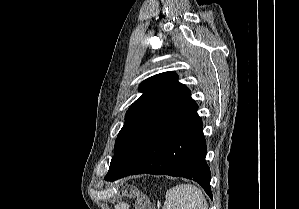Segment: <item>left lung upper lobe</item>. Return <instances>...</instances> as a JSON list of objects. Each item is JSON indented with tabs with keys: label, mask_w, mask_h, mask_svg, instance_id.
Returning <instances> with one entry per match:
<instances>
[{
	"label": "left lung upper lobe",
	"mask_w": 299,
	"mask_h": 209,
	"mask_svg": "<svg viewBox=\"0 0 299 209\" xmlns=\"http://www.w3.org/2000/svg\"><path fill=\"white\" fill-rule=\"evenodd\" d=\"M185 88V85L178 82V76L174 72L154 75L140 84L139 90L143 94L129 107L126 113L124 126L115 142L111 164L120 148L136 129L158 108Z\"/></svg>",
	"instance_id": "left-lung-upper-lobe-1"
}]
</instances>
